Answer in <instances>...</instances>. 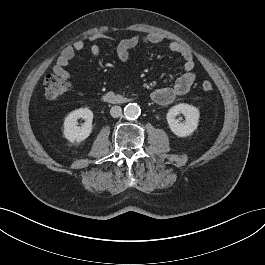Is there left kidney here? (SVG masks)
Instances as JSON below:
<instances>
[{
    "label": "left kidney",
    "mask_w": 265,
    "mask_h": 265,
    "mask_svg": "<svg viewBox=\"0 0 265 265\" xmlns=\"http://www.w3.org/2000/svg\"><path fill=\"white\" fill-rule=\"evenodd\" d=\"M178 114H183L185 116V121L183 123L176 119ZM199 117V110L185 103L173 106L166 115L171 131L178 137H187L191 135L197 129Z\"/></svg>",
    "instance_id": "left-kidney-1"
}]
</instances>
